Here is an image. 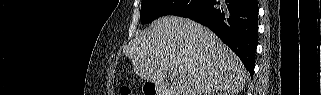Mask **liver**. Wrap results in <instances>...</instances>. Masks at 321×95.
Listing matches in <instances>:
<instances>
[{"mask_svg":"<svg viewBox=\"0 0 321 95\" xmlns=\"http://www.w3.org/2000/svg\"><path fill=\"white\" fill-rule=\"evenodd\" d=\"M134 72L163 85L167 76L175 81V95L239 93L248 72L242 62L208 28L192 20L166 16L155 20L151 30L123 49Z\"/></svg>","mask_w":321,"mask_h":95,"instance_id":"6515ba94","label":"liver"}]
</instances>
